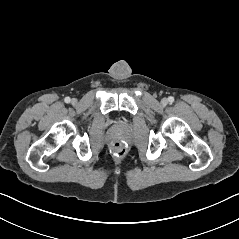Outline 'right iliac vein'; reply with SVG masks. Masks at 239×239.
I'll return each instance as SVG.
<instances>
[{
    "instance_id": "1",
    "label": "right iliac vein",
    "mask_w": 239,
    "mask_h": 239,
    "mask_svg": "<svg viewBox=\"0 0 239 239\" xmlns=\"http://www.w3.org/2000/svg\"><path fill=\"white\" fill-rule=\"evenodd\" d=\"M77 102L76 99H72V103L75 104Z\"/></svg>"
}]
</instances>
